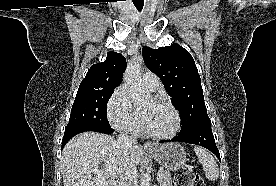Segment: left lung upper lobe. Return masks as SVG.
Here are the masks:
<instances>
[{
  "instance_id": "left-lung-upper-lobe-1",
  "label": "left lung upper lobe",
  "mask_w": 276,
  "mask_h": 186,
  "mask_svg": "<svg viewBox=\"0 0 276 186\" xmlns=\"http://www.w3.org/2000/svg\"><path fill=\"white\" fill-rule=\"evenodd\" d=\"M142 55L146 66L161 79L174 107L182 115L180 133L201 125H211L198 69L190 53L173 43L157 50L143 47Z\"/></svg>"
}]
</instances>
